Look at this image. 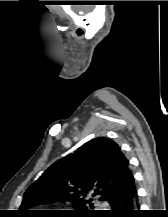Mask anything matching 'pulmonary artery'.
<instances>
[{
    "instance_id": "1",
    "label": "pulmonary artery",
    "mask_w": 168,
    "mask_h": 217,
    "mask_svg": "<svg viewBox=\"0 0 168 217\" xmlns=\"http://www.w3.org/2000/svg\"><path fill=\"white\" fill-rule=\"evenodd\" d=\"M102 203L105 205V204H107V201H103Z\"/></svg>"
}]
</instances>
